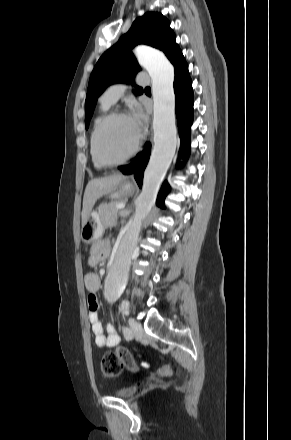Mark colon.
<instances>
[{
    "mask_svg": "<svg viewBox=\"0 0 291 440\" xmlns=\"http://www.w3.org/2000/svg\"><path fill=\"white\" fill-rule=\"evenodd\" d=\"M123 366L132 371L137 369V363L132 358L130 352L126 348L119 347L115 351L104 354L101 362V372L106 377H114L121 372ZM162 372L165 374L172 373V364L165 365Z\"/></svg>",
    "mask_w": 291,
    "mask_h": 440,
    "instance_id": "colon-1",
    "label": "colon"
}]
</instances>
